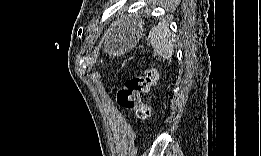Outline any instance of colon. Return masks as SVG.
Returning <instances> with one entry per match:
<instances>
[{
	"label": "colon",
	"mask_w": 261,
	"mask_h": 156,
	"mask_svg": "<svg viewBox=\"0 0 261 156\" xmlns=\"http://www.w3.org/2000/svg\"><path fill=\"white\" fill-rule=\"evenodd\" d=\"M158 77V70L149 68L142 75L128 78L116 93L117 104L121 108L133 110L140 120H149L151 107L142 101V96L157 84Z\"/></svg>",
	"instance_id": "obj_1"
}]
</instances>
